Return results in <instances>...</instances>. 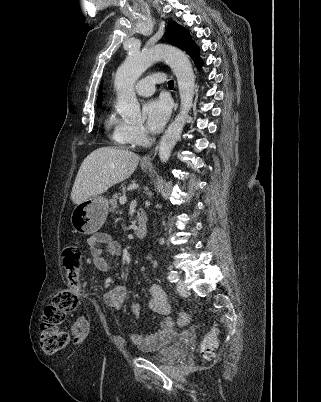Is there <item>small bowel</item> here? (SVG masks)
I'll list each match as a JSON object with an SVG mask.
<instances>
[{"label":"small bowel","instance_id":"small-bowel-1","mask_svg":"<svg viewBox=\"0 0 321 402\" xmlns=\"http://www.w3.org/2000/svg\"><path fill=\"white\" fill-rule=\"evenodd\" d=\"M107 246L108 253L112 256H120L122 253L121 244L113 240L106 233L94 234L88 240V250L91 256L93 266L100 271H109L111 265L103 256V246ZM149 301L148 306L152 312L162 317L158 331L146 334L133 333L130 335L131 342L142 350H150L156 348L171 340L175 336L174 322L169 317L170 306L167 296L163 288L153 283L148 287ZM127 288L124 285H118L108 290L104 294L105 304L114 310L119 311L126 300ZM131 309L136 317L141 315V307L139 303L133 301ZM74 336L75 342H80L87 335L88 325L85 320L79 318L70 329Z\"/></svg>","mask_w":321,"mask_h":402}]
</instances>
